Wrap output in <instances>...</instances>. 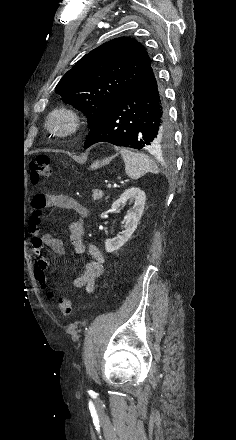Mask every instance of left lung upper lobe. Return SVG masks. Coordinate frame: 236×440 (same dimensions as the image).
<instances>
[{"instance_id": "obj_1", "label": "left lung upper lobe", "mask_w": 236, "mask_h": 440, "mask_svg": "<svg viewBox=\"0 0 236 440\" xmlns=\"http://www.w3.org/2000/svg\"><path fill=\"white\" fill-rule=\"evenodd\" d=\"M150 66L151 59L142 44L129 37L116 38L79 60L55 91L64 102L87 115L91 129Z\"/></svg>"}]
</instances>
